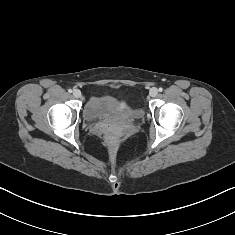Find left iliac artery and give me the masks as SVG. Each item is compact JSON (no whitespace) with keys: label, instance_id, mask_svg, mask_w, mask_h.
<instances>
[{"label":"left iliac artery","instance_id":"left-iliac-artery-1","mask_svg":"<svg viewBox=\"0 0 235 235\" xmlns=\"http://www.w3.org/2000/svg\"><path fill=\"white\" fill-rule=\"evenodd\" d=\"M162 91H163V88L160 87V88H159V92H162Z\"/></svg>","mask_w":235,"mask_h":235}]
</instances>
